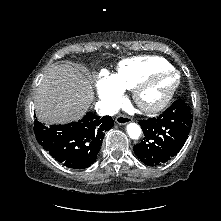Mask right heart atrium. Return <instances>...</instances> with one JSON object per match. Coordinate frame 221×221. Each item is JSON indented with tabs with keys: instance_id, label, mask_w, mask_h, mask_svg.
<instances>
[{
	"instance_id": "d8ad5b80",
	"label": "right heart atrium",
	"mask_w": 221,
	"mask_h": 221,
	"mask_svg": "<svg viewBox=\"0 0 221 221\" xmlns=\"http://www.w3.org/2000/svg\"><path fill=\"white\" fill-rule=\"evenodd\" d=\"M97 94L108 110H115L123 100L124 90L117 83L114 76L102 72L96 81Z\"/></svg>"
}]
</instances>
